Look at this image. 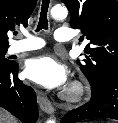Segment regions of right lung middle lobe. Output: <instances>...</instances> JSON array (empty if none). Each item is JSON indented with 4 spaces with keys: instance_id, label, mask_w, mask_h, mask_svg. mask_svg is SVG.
Returning a JSON list of instances; mask_svg holds the SVG:
<instances>
[{
    "instance_id": "dd1d6c3e",
    "label": "right lung middle lobe",
    "mask_w": 118,
    "mask_h": 123,
    "mask_svg": "<svg viewBox=\"0 0 118 123\" xmlns=\"http://www.w3.org/2000/svg\"><path fill=\"white\" fill-rule=\"evenodd\" d=\"M6 52H7V49H1L0 50V68L9 67L10 65L13 64L11 61H9L5 57Z\"/></svg>"
}]
</instances>
